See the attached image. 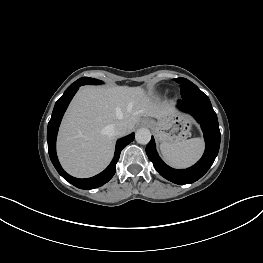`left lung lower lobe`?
Listing matches in <instances>:
<instances>
[{"label":"left lung lower lobe","instance_id":"obj_1","mask_svg":"<svg viewBox=\"0 0 263 263\" xmlns=\"http://www.w3.org/2000/svg\"><path fill=\"white\" fill-rule=\"evenodd\" d=\"M178 108L191 114L201 125L206 149L202 158L188 169L177 170L167 166L159 157L154 138L146 146V153L155 169L167 180L176 184H189L200 179L213 164L220 146V130L217 115L209 98L202 92L178 100Z\"/></svg>","mask_w":263,"mask_h":263}]
</instances>
